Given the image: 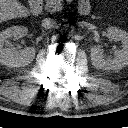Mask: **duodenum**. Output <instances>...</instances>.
<instances>
[{
    "mask_svg": "<svg viewBox=\"0 0 128 128\" xmlns=\"http://www.w3.org/2000/svg\"><path fill=\"white\" fill-rule=\"evenodd\" d=\"M30 10L33 15H39L42 11L43 0H30ZM79 13L86 15L90 11V6L87 4L80 3L78 7Z\"/></svg>",
    "mask_w": 128,
    "mask_h": 128,
    "instance_id": "410a0bca",
    "label": "duodenum"
}]
</instances>
